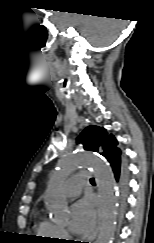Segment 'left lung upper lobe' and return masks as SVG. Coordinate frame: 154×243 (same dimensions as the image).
I'll use <instances>...</instances> for the list:
<instances>
[{
    "mask_svg": "<svg viewBox=\"0 0 154 243\" xmlns=\"http://www.w3.org/2000/svg\"><path fill=\"white\" fill-rule=\"evenodd\" d=\"M78 143H83L85 150L100 152L111 164L118 162L121 164V152L117 147V140L111 134L108 135L107 131L98 126L87 127L78 137Z\"/></svg>",
    "mask_w": 154,
    "mask_h": 243,
    "instance_id": "1",
    "label": "left lung upper lobe"
}]
</instances>
